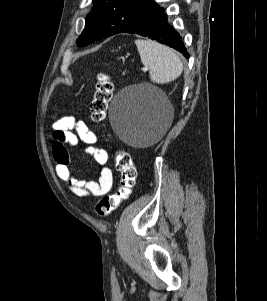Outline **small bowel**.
<instances>
[{
  "label": "small bowel",
  "mask_w": 267,
  "mask_h": 301,
  "mask_svg": "<svg viewBox=\"0 0 267 301\" xmlns=\"http://www.w3.org/2000/svg\"><path fill=\"white\" fill-rule=\"evenodd\" d=\"M52 153L55 170L68 189L79 197H95L107 194L113 185L112 170L107 166L109 154L104 148L98 147V136L84 121L74 117H62L53 123ZM68 144L76 149L83 146L84 152L100 165L98 180H82L76 178L71 170V161L65 147Z\"/></svg>",
  "instance_id": "1"
}]
</instances>
